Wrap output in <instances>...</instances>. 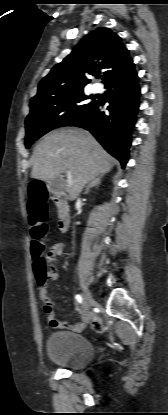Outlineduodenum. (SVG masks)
Segmentation results:
<instances>
[{
    "instance_id": "obj_1",
    "label": "duodenum",
    "mask_w": 168,
    "mask_h": 415,
    "mask_svg": "<svg viewBox=\"0 0 168 415\" xmlns=\"http://www.w3.org/2000/svg\"><path fill=\"white\" fill-rule=\"evenodd\" d=\"M52 195L57 208L58 229L60 232L65 233L69 229L70 225V213L66 200V194L62 191L53 190Z\"/></svg>"
}]
</instances>
